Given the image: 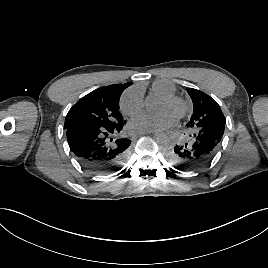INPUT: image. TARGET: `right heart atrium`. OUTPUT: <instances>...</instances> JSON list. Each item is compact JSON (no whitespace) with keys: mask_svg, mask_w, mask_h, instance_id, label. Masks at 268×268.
Returning a JSON list of instances; mask_svg holds the SVG:
<instances>
[{"mask_svg":"<svg viewBox=\"0 0 268 268\" xmlns=\"http://www.w3.org/2000/svg\"><path fill=\"white\" fill-rule=\"evenodd\" d=\"M142 94L139 89H128L120 99V109L126 115L139 113L143 108Z\"/></svg>","mask_w":268,"mask_h":268,"instance_id":"right-heart-atrium-1","label":"right heart atrium"}]
</instances>
